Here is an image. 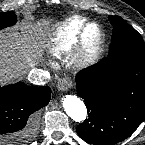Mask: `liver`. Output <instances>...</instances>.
I'll return each mask as SVG.
<instances>
[{
    "label": "liver",
    "instance_id": "liver-1",
    "mask_svg": "<svg viewBox=\"0 0 145 145\" xmlns=\"http://www.w3.org/2000/svg\"><path fill=\"white\" fill-rule=\"evenodd\" d=\"M41 34L39 26L28 23L22 25L21 34H0V82L15 80L34 65L40 52Z\"/></svg>",
    "mask_w": 145,
    "mask_h": 145
}]
</instances>
